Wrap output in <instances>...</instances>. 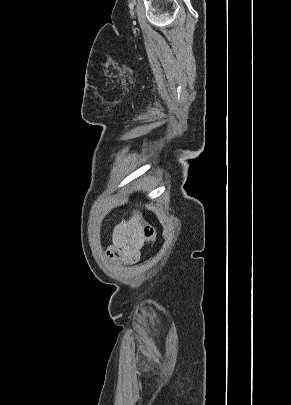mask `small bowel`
I'll return each mask as SVG.
<instances>
[{"label":"small bowel","mask_w":291,"mask_h":405,"mask_svg":"<svg viewBox=\"0 0 291 405\" xmlns=\"http://www.w3.org/2000/svg\"><path fill=\"white\" fill-rule=\"evenodd\" d=\"M143 242L144 238L140 224L121 223L114 230L107 255L124 262L135 263L140 259Z\"/></svg>","instance_id":"1"}]
</instances>
